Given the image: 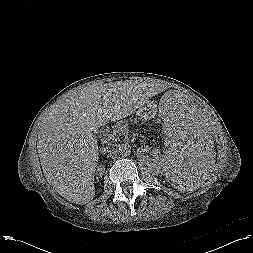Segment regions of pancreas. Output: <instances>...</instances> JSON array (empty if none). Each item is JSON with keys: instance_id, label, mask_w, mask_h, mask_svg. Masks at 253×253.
<instances>
[{"instance_id": "pancreas-1", "label": "pancreas", "mask_w": 253, "mask_h": 253, "mask_svg": "<svg viewBox=\"0 0 253 253\" xmlns=\"http://www.w3.org/2000/svg\"><path fill=\"white\" fill-rule=\"evenodd\" d=\"M126 132L127 131L121 125H117L113 126L111 131L109 128H106L104 130V135L109 139H118L119 136L126 134Z\"/></svg>"}]
</instances>
